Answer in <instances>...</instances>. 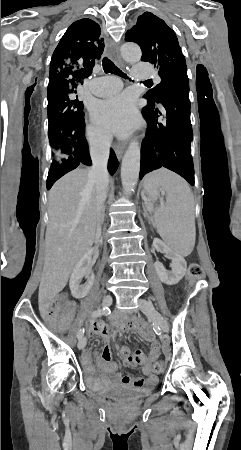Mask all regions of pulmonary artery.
Instances as JSON below:
<instances>
[{
	"mask_svg": "<svg viewBox=\"0 0 241 450\" xmlns=\"http://www.w3.org/2000/svg\"><path fill=\"white\" fill-rule=\"evenodd\" d=\"M134 78L145 80L147 84H156L158 77L154 71H149L148 64H135L133 66ZM90 92H98L95 95L98 97H107L113 92L119 91L121 80L119 78H109L107 74H102L100 78H91L89 80Z\"/></svg>",
	"mask_w": 241,
	"mask_h": 450,
	"instance_id": "e3ab8cb5",
	"label": "pulmonary artery"
}]
</instances>
